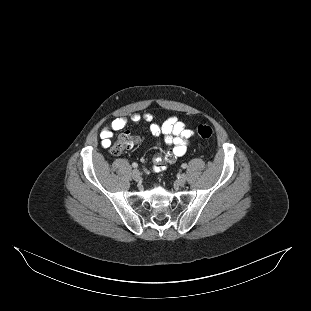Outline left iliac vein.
Listing matches in <instances>:
<instances>
[{"label":"left iliac vein","instance_id":"obj_1","mask_svg":"<svg viewBox=\"0 0 311 311\" xmlns=\"http://www.w3.org/2000/svg\"><path fill=\"white\" fill-rule=\"evenodd\" d=\"M187 176L186 174H181L177 179V184L183 186L186 183Z\"/></svg>","mask_w":311,"mask_h":311}]
</instances>
